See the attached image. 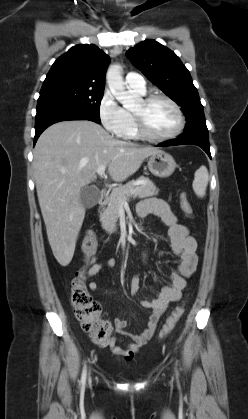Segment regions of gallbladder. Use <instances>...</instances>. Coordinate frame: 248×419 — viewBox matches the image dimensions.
Returning <instances> with one entry per match:
<instances>
[{"mask_svg": "<svg viewBox=\"0 0 248 419\" xmlns=\"http://www.w3.org/2000/svg\"><path fill=\"white\" fill-rule=\"evenodd\" d=\"M100 199V192L95 187H87L81 191L80 202L85 208H92Z\"/></svg>", "mask_w": 248, "mask_h": 419, "instance_id": "bac80fb5", "label": "gallbladder"}]
</instances>
